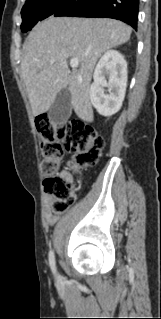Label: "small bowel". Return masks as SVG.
Instances as JSON below:
<instances>
[{
    "label": "small bowel",
    "instance_id": "obj_1",
    "mask_svg": "<svg viewBox=\"0 0 161 319\" xmlns=\"http://www.w3.org/2000/svg\"><path fill=\"white\" fill-rule=\"evenodd\" d=\"M52 202V196L47 195L45 197V208H44V212H45V217H46V221L48 224L53 225L57 222L58 217L56 215H54L51 210H50V205Z\"/></svg>",
    "mask_w": 161,
    "mask_h": 319
}]
</instances>
